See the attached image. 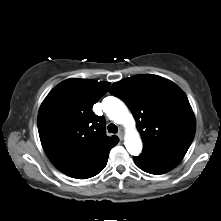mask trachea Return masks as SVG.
I'll return each mask as SVG.
<instances>
[{"label":"trachea","instance_id":"1","mask_svg":"<svg viewBox=\"0 0 221 221\" xmlns=\"http://www.w3.org/2000/svg\"><path fill=\"white\" fill-rule=\"evenodd\" d=\"M107 129H108V132H110V133H117L118 132V127L113 123L109 124Z\"/></svg>","mask_w":221,"mask_h":221}]
</instances>
